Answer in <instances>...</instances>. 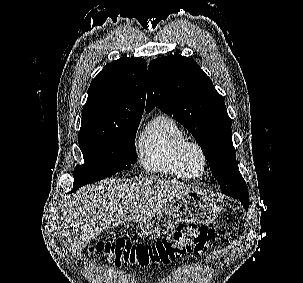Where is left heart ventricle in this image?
Segmentation results:
<instances>
[{"label": "left heart ventricle", "mask_w": 303, "mask_h": 283, "mask_svg": "<svg viewBox=\"0 0 303 283\" xmlns=\"http://www.w3.org/2000/svg\"><path fill=\"white\" fill-rule=\"evenodd\" d=\"M192 162H193V166L196 170H199L200 169V161L198 159L197 156H194L193 159H192Z\"/></svg>", "instance_id": "b2bd125f"}]
</instances>
